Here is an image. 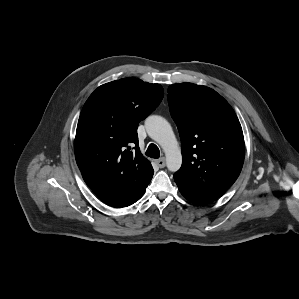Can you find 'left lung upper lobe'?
I'll list each match as a JSON object with an SVG mask.
<instances>
[{"mask_svg": "<svg viewBox=\"0 0 299 299\" xmlns=\"http://www.w3.org/2000/svg\"><path fill=\"white\" fill-rule=\"evenodd\" d=\"M168 103L182 142V166L174 178L222 196L238 178L245 155L234 110L216 91L192 83L169 86Z\"/></svg>", "mask_w": 299, "mask_h": 299, "instance_id": "1", "label": "left lung upper lobe"}]
</instances>
